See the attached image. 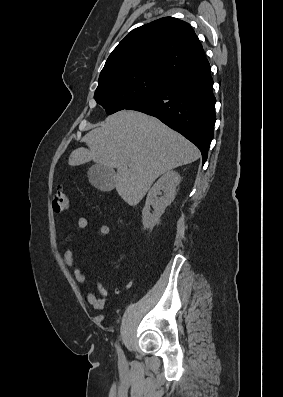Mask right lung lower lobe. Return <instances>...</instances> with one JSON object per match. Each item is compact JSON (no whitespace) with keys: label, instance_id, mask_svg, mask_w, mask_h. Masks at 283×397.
I'll list each match as a JSON object with an SVG mask.
<instances>
[{"label":"right lung lower lobe","instance_id":"right-lung-lower-lobe-1","mask_svg":"<svg viewBox=\"0 0 283 397\" xmlns=\"http://www.w3.org/2000/svg\"><path fill=\"white\" fill-rule=\"evenodd\" d=\"M216 98L210 65L182 73L126 109L158 118L201 151L203 163L214 135Z\"/></svg>","mask_w":283,"mask_h":397}]
</instances>
